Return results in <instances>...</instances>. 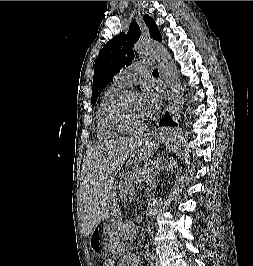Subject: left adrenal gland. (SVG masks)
<instances>
[{
  "mask_svg": "<svg viewBox=\"0 0 253 266\" xmlns=\"http://www.w3.org/2000/svg\"><path fill=\"white\" fill-rule=\"evenodd\" d=\"M157 168H158V164H157ZM149 180V188L151 187V189L155 188L156 185H155V181H154V178H150L148 179Z\"/></svg>",
  "mask_w": 253,
  "mask_h": 266,
  "instance_id": "obj_1",
  "label": "left adrenal gland"
}]
</instances>
